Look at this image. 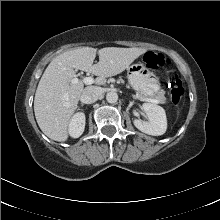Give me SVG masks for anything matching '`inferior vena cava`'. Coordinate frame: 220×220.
Here are the masks:
<instances>
[{"label":"inferior vena cava","mask_w":220,"mask_h":220,"mask_svg":"<svg viewBox=\"0 0 220 220\" xmlns=\"http://www.w3.org/2000/svg\"><path fill=\"white\" fill-rule=\"evenodd\" d=\"M102 95V89L97 86H88L83 90L81 99L84 103L90 104L96 102Z\"/></svg>","instance_id":"obj_1"}]
</instances>
